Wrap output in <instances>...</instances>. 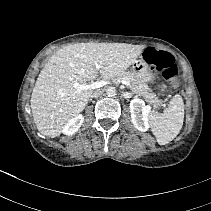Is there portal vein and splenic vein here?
Returning a JSON list of instances; mask_svg holds the SVG:
<instances>
[{
  "mask_svg": "<svg viewBox=\"0 0 211 211\" xmlns=\"http://www.w3.org/2000/svg\"><path fill=\"white\" fill-rule=\"evenodd\" d=\"M97 67L100 68V66H98V65H97ZM121 83L126 85V86H130L129 81H127V80H121ZM106 84H107V81L101 80V81L92 82L91 84H77V83H75L74 87L78 91H83V90L101 88V87L105 86Z\"/></svg>",
  "mask_w": 211,
  "mask_h": 211,
  "instance_id": "18ae733b",
  "label": "portal vein and splenic vein"
}]
</instances>
